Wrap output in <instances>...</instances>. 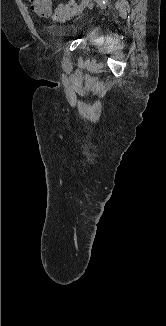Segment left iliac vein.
Instances as JSON below:
<instances>
[{
	"label": "left iliac vein",
	"mask_w": 166,
	"mask_h": 326,
	"mask_svg": "<svg viewBox=\"0 0 166 326\" xmlns=\"http://www.w3.org/2000/svg\"><path fill=\"white\" fill-rule=\"evenodd\" d=\"M89 1L90 0H82L81 5H80V7L78 9L79 14L82 13L85 10V8L87 7Z\"/></svg>",
	"instance_id": "1"
}]
</instances>
